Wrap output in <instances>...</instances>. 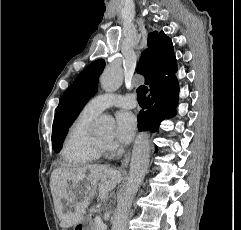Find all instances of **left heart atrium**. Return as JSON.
<instances>
[{"instance_id":"left-heart-atrium-1","label":"left heart atrium","mask_w":241,"mask_h":230,"mask_svg":"<svg viewBox=\"0 0 241 230\" xmlns=\"http://www.w3.org/2000/svg\"><path fill=\"white\" fill-rule=\"evenodd\" d=\"M137 121L129 111H120L116 115V138L122 143H129L135 136Z\"/></svg>"}]
</instances>
